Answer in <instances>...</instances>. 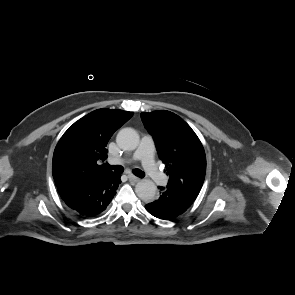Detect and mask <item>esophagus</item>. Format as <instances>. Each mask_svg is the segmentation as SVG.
I'll list each match as a JSON object with an SVG mask.
<instances>
[{
	"mask_svg": "<svg viewBox=\"0 0 295 295\" xmlns=\"http://www.w3.org/2000/svg\"><path fill=\"white\" fill-rule=\"evenodd\" d=\"M128 178H129V180H130L131 182H134V183H136V182H138V181L140 180L138 177H136V176H134V175H132V174H129V175H128Z\"/></svg>",
	"mask_w": 295,
	"mask_h": 295,
	"instance_id": "esophagus-1",
	"label": "esophagus"
}]
</instances>
